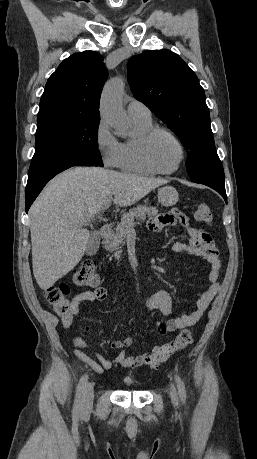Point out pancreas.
Returning a JSON list of instances; mask_svg holds the SVG:
<instances>
[{"mask_svg":"<svg viewBox=\"0 0 257 459\" xmlns=\"http://www.w3.org/2000/svg\"><path fill=\"white\" fill-rule=\"evenodd\" d=\"M158 214L155 207L148 205H138L132 208L128 213L122 215L121 222L117 225L114 231L109 232L103 241L104 248L109 252H114V256L118 257L122 253L121 245L128 234L129 228L134 224L135 219L144 220L146 216L152 218Z\"/></svg>","mask_w":257,"mask_h":459,"instance_id":"obj_1","label":"pancreas"}]
</instances>
